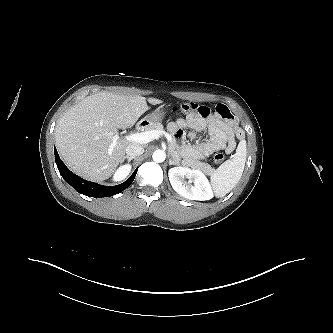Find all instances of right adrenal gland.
Returning <instances> with one entry per match:
<instances>
[{"label": "right adrenal gland", "mask_w": 333, "mask_h": 333, "mask_svg": "<svg viewBox=\"0 0 333 333\" xmlns=\"http://www.w3.org/2000/svg\"><path fill=\"white\" fill-rule=\"evenodd\" d=\"M127 159V162L129 163L131 160L135 159V157H129V156H125L124 160Z\"/></svg>", "instance_id": "1"}]
</instances>
